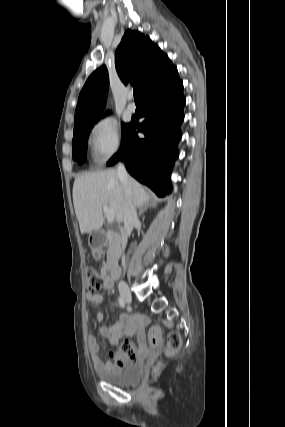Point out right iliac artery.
Here are the masks:
<instances>
[{
    "instance_id": "obj_1",
    "label": "right iliac artery",
    "mask_w": 285,
    "mask_h": 427,
    "mask_svg": "<svg viewBox=\"0 0 285 427\" xmlns=\"http://www.w3.org/2000/svg\"><path fill=\"white\" fill-rule=\"evenodd\" d=\"M118 301H119V305L123 308L125 306L124 300L121 297H119Z\"/></svg>"
}]
</instances>
